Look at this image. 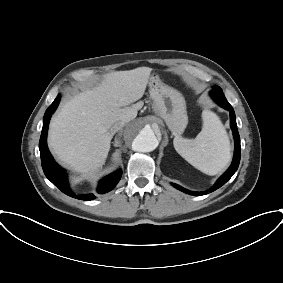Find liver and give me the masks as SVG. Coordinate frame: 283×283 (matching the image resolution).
<instances>
[{
	"label": "liver",
	"instance_id": "1",
	"mask_svg": "<svg viewBox=\"0 0 283 283\" xmlns=\"http://www.w3.org/2000/svg\"><path fill=\"white\" fill-rule=\"evenodd\" d=\"M152 69L139 67L106 74L93 89L61 107L50 123L48 144L58 159L82 177L97 172L110 150L111 126L134 120ZM81 178L76 179L79 181Z\"/></svg>",
	"mask_w": 283,
	"mask_h": 283
}]
</instances>
